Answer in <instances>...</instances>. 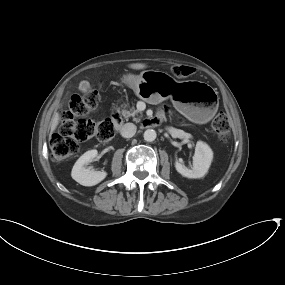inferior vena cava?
<instances>
[{"label": "inferior vena cava", "instance_id": "1", "mask_svg": "<svg viewBox=\"0 0 285 285\" xmlns=\"http://www.w3.org/2000/svg\"><path fill=\"white\" fill-rule=\"evenodd\" d=\"M136 130H137L136 125H134L133 123H126L122 126L120 132L124 138H131L135 135Z\"/></svg>", "mask_w": 285, "mask_h": 285}]
</instances>
